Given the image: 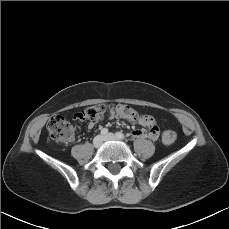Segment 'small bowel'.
Masks as SVG:
<instances>
[{
    "instance_id": "1",
    "label": "small bowel",
    "mask_w": 229,
    "mask_h": 229,
    "mask_svg": "<svg viewBox=\"0 0 229 229\" xmlns=\"http://www.w3.org/2000/svg\"><path fill=\"white\" fill-rule=\"evenodd\" d=\"M115 114H112V117H114ZM133 122L139 124V125H143V126H147L150 129L146 130V129H136L132 132V135L136 138H149L151 140H156L158 137V133L155 129V121L153 119L152 116L150 115H140L138 116L136 119H131ZM97 122L94 121H89L88 122V128L92 129Z\"/></svg>"
}]
</instances>
